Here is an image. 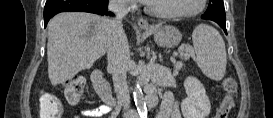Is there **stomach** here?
Masks as SVG:
<instances>
[{"instance_id":"1","label":"stomach","mask_w":273,"mask_h":118,"mask_svg":"<svg viewBox=\"0 0 273 118\" xmlns=\"http://www.w3.org/2000/svg\"><path fill=\"white\" fill-rule=\"evenodd\" d=\"M147 30L153 35L156 44L165 48L177 46L182 38V34L174 26L155 25Z\"/></svg>"}]
</instances>
